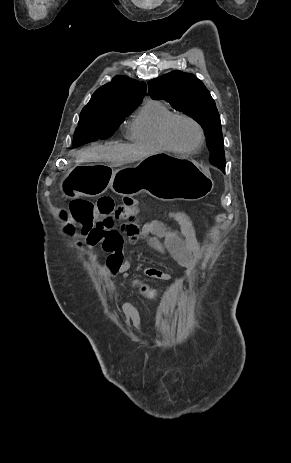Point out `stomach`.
I'll list each match as a JSON object with an SVG mask.
<instances>
[{"instance_id": "1", "label": "stomach", "mask_w": 291, "mask_h": 463, "mask_svg": "<svg viewBox=\"0 0 291 463\" xmlns=\"http://www.w3.org/2000/svg\"><path fill=\"white\" fill-rule=\"evenodd\" d=\"M108 188L120 195L144 191L161 201H195L213 189V180L196 161L169 153L142 159L132 168L90 164L69 172L61 184L68 198L98 196Z\"/></svg>"}]
</instances>
